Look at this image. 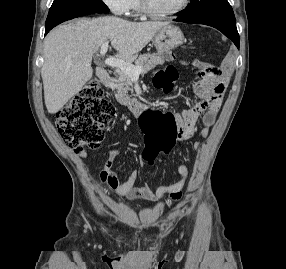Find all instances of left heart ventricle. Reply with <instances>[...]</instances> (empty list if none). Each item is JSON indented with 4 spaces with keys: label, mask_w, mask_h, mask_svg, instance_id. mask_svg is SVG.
I'll list each match as a JSON object with an SVG mask.
<instances>
[{
    "label": "left heart ventricle",
    "mask_w": 286,
    "mask_h": 269,
    "mask_svg": "<svg viewBox=\"0 0 286 269\" xmlns=\"http://www.w3.org/2000/svg\"><path fill=\"white\" fill-rule=\"evenodd\" d=\"M183 0H148L150 8L157 13L170 12L182 3Z\"/></svg>",
    "instance_id": "1"
}]
</instances>
